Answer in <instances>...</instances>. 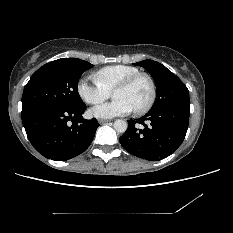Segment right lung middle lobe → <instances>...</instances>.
I'll return each instance as SVG.
<instances>
[{
  "label": "right lung middle lobe",
  "mask_w": 233,
  "mask_h": 233,
  "mask_svg": "<svg viewBox=\"0 0 233 233\" xmlns=\"http://www.w3.org/2000/svg\"><path fill=\"white\" fill-rule=\"evenodd\" d=\"M92 67L89 62L78 58H61L43 65L24 87L22 114L43 106H82L78 81L82 73Z\"/></svg>",
  "instance_id": "obj_1"
}]
</instances>
